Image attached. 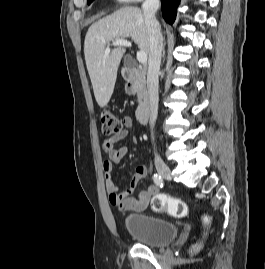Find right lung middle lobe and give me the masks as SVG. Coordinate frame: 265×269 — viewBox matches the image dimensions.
Returning <instances> with one entry per match:
<instances>
[{
    "mask_svg": "<svg viewBox=\"0 0 265 269\" xmlns=\"http://www.w3.org/2000/svg\"><path fill=\"white\" fill-rule=\"evenodd\" d=\"M93 0H88V4H90Z\"/></svg>",
    "mask_w": 265,
    "mask_h": 269,
    "instance_id": "right-lung-middle-lobe-1",
    "label": "right lung middle lobe"
}]
</instances>
